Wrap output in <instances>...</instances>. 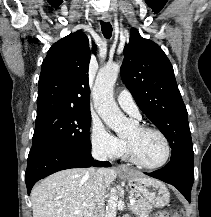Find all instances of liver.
<instances>
[{
    "label": "liver",
    "mask_w": 211,
    "mask_h": 217,
    "mask_svg": "<svg viewBox=\"0 0 211 217\" xmlns=\"http://www.w3.org/2000/svg\"><path fill=\"white\" fill-rule=\"evenodd\" d=\"M102 172L106 188L117 172L111 168ZM94 175L93 169H67L35 185L31 191L33 217H92L96 205Z\"/></svg>",
    "instance_id": "liver-1"
}]
</instances>
